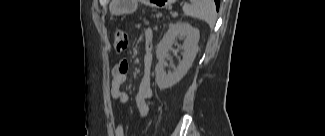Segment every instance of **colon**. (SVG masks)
Wrapping results in <instances>:
<instances>
[{
    "label": "colon",
    "mask_w": 325,
    "mask_h": 136,
    "mask_svg": "<svg viewBox=\"0 0 325 136\" xmlns=\"http://www.w3.org/2000/svg\"><path fill=\"white\" fill-rule=\"evenodd\" d=\"M127 47V36L123 31H117L114 35L113 48L116 53L123 52Z\"/></svg>",
    "instance_id": "1"
}]
</instances>
